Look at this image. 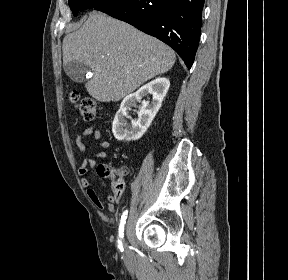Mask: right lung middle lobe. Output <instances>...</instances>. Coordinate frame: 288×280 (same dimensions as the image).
<instances>
[{
	"label": "right lung middle lobe",
	"instance_id": "obj_1",
	"mask_svg": "<svg viewBox=\"0 0 288 280\" xmlns=\"http://www.w3.org/2000/svg\"><path fill=\"white\" fill-rule=\"evenodd\" d=\"M114 0H69V6L74 16L85 9L95 8Z\"/></svg>",
	"mask_w": 288,
	"mask_h": 280
}]
</instances>
